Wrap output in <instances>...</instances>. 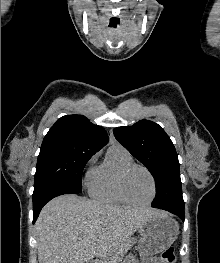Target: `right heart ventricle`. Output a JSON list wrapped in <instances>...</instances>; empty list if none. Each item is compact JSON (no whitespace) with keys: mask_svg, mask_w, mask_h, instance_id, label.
<instances>
[{"mask_svg":"<svg viewBox=\"0 0 220 263\" xmlns=\"http://www.w3.org/2000/svg\"><path fill=\"white\" fill-rule=\"evenodd\" d=\"M133 164L131 155L122 147L112 146L102 163L88 179L90 196L100 202L116 205L128 204L119 190V178L123 169Z\"/></svg>","mask_w":220,"mask_h":263,"instance_id":"right-heart-ventricle-1","label":"right heart ventricle"}]
</instances>
